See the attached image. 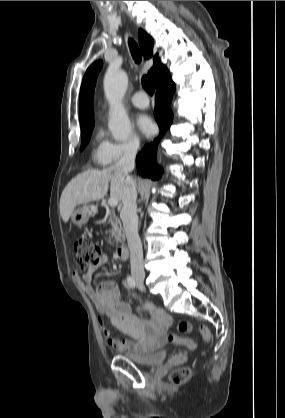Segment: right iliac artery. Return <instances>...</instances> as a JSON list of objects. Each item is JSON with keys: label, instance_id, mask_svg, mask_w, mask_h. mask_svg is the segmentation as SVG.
Here are the masks:
<instances>
[{"label": "right iliac artery", "instance_id": "82829eb1", "mask_svg": "<svg viewBox=\"0 0 285 418\" xmlns=\"http://www.w3.org/2000/svg\"><path fill=\"white\" fill-rule=\"evenodd\" d=\"M127 283H128V286L130 288H134L135 287V280H134V278L132 276H128Z\"/></svg>", "mask_w": 285, "mask_h": 418}]
</instances>
